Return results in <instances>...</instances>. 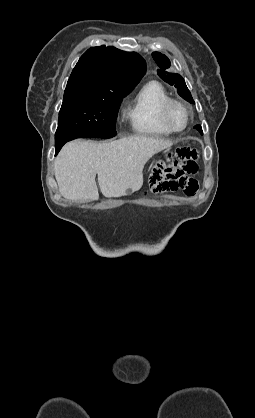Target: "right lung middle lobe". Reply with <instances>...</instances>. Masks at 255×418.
Listing matches in <instances>:
<instances>
[{"instance_id": "right-lung-middle-lobe-1", "label": "right lung middle lobe", "mask_w": 255, "mask_h": 418, "mask_svg": "<svg viewBox=\"0 0 255 418\" xmlns=\"http://www.w3.org/2000/svg\"><path fill=\"white\" fill-rule=\"evenodd\" d=\"M131 90L66 88L55 143L75 138H111L119 106Z\"/></svg>"}]
</instances>
